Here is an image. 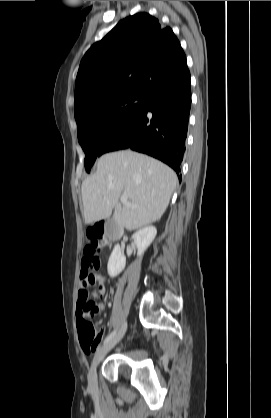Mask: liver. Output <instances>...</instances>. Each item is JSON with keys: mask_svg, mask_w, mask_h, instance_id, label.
Instances as JSON below:
<instances>
[{"mask_svg": "<svg viewBox=\"0 0 271 418\" xmlns=\"http://www.w3.org/2000/svg\"><path fill=\"white\" fill-rule=\"evenodd\" d=\"M177 185L175 172L164 163L131 150L107 153L97 161L94 175L82 182L86 224L113 218L120 228L135 230L158 221ZM126 195L136 207L124 205Z\"/></svg>", "mask_w": 271, "mask_h": 418, "instance_id": "obj_1", "label": "liver"}]
</instances>
